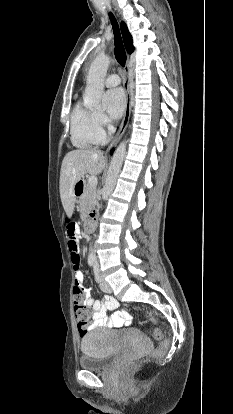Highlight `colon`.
Listing matches in <instances>:
<instances>
[{
  "label": "colon",
  "mask_w": 233,
  "mask_h": 414,
  "mask_svg": "<svg viewBox=\"0 0 233 414\" xmlns=\"http://www.w3.org/2000/svg\"><path fill=\"white\" fill-rule=\"evenodd\" d=\"M77 231V226L75 223L70 222L67 225V237H68V246L70 253L72 251H78V236L75 235ZM74 312L77 321L78 330L81 335L85 334L88 329L92 326L93 323V316L92 312L89 309L86 303L85 293L82 294H74ZM151 335L155 340H161L163 337L162 331L159 328H154L151 330ZM166 344L160 345L157 349V352H161L165 349Z\"/></svg>",
  "instance_id": "colon-1"
}]
</instances>
